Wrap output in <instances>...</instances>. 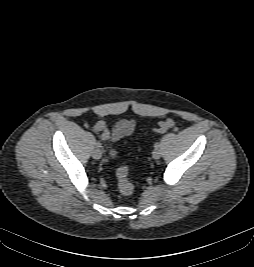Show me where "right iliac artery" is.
I'll use <instances>...</instances> for the list:
<instances>
[{"mask_svg": "<svg viewBox=\"0 0 254 267\" xmlns=\"http://www.w3.org/2000/svg\"><path fill=\"white\" fill-rule=\"evenodd\" d=\"M95 144L97 147H101V143L99 141H97Z\"/></svg>", "mask_w": 254, "mask_h": 267, "instance_id": "82829eb1", "label": "right iliac artery"}]
</instances>
